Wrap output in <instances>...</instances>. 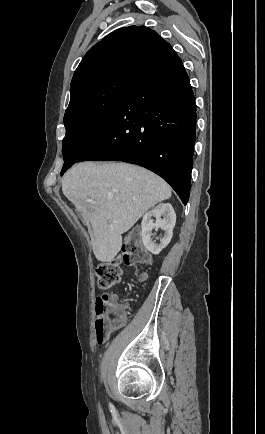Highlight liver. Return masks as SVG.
<instances>
[{"label":"liver","instance_id":"liver-1","mask_svg":"<svg viewBox=\"0 0 265 434\" xmlns=\"http://www.w3.org/2000/svg\"><path fill=\"white\" fill-rule=\"evenodd\" d=\"M62 192L80 212L99 262H113L121 250L122 234L149 208L171 198L170 186L156 174L111 162L76 164L66 172Z\"/></svg>","mask_w":265,"mask_h":434}]
</instances>
